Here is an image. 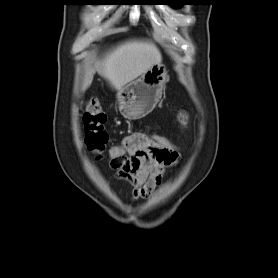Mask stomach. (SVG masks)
Here are the masks:
<instances>
[{"label":"stomach","mask_w":278,"mask_h":278,"mask_svg":"<svg viewBox=\"0 0 278 278\" xmlns=\"http://www.w3.org/2000/svg\"><path fill=\"white\" fill-rule=\"evenodd\" d=\"M169 76L165 65H153L149 70L117 92L120 113L129 120L145 117L156 106Z\"/></svg>","instance_id":"0dacf381"}]
</instances>
